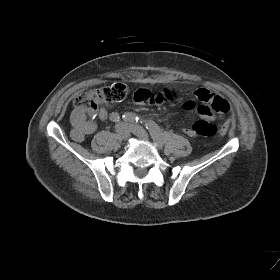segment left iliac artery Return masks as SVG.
Wrapping results in <instances>:
<instances>
[{
    "label": "left iliac artery",
    "instance_id": "44dca946",
    "mask_svg": "<svg viewBox=\"0 0 280 280\" xmlns=\"http://www.w3.org/2000/svg\"><path fill=\"white\" fill-rule=\"evenodd\" d=\"M123 120L127 122H140L145 125V127L150 132L153 139L157 141H161L163 139V133L160 127L152 120H145L141 117L135 115L134 113H125L123 116Z\"/></svg>",
    "mask_w": 280,
    "mask_h": 280
}]
</instances>
